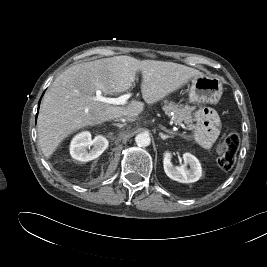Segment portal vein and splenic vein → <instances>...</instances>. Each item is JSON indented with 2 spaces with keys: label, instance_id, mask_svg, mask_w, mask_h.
<instances>
[{
  "label": "portal vein and splenic vein",
  "instance_id": "18ae733b",
  "mask_svg": "<svg viewBox=\"0 0 267 267\" xmlns=\"http://www.w3.org/2000/svg\"><path fill=\"white\" fill-rule=\"evenodd\" d=\"M131 97V93L121 95L117 98H110V97H104L101 95V92L98 90L96 91L95 100L101 101L107 104H114V105H125L127 103V100ZM179 125L183 129H187V127L183 123H179Z\"/></svg>",
  "mask_w": 267,
  "mask_h": 267
}]
</instances>
